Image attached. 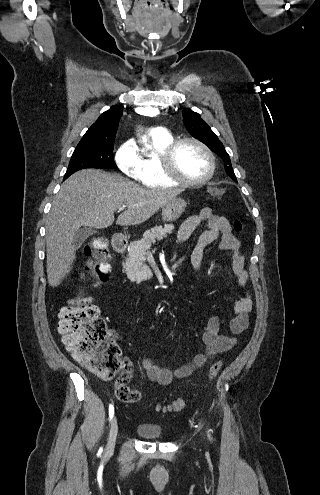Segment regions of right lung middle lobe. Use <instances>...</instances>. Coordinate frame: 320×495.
Masks as SVG:
<instances>
[{
    "label": "right lung middle lobe",
    "instance_id": "dd1d6c3e",
    "mask_svg": "<svg viewBox=\"0 0 320 495\" xmlns=\"http://www.w3.org/2000/svg\"><path fill=\"white\" fill-rule=\"evenodd\" d=\"M114 144L78 145L73 152L65 178L85 168L115 169Z\"/></svg>",
    "mask_w": 320,
    "mask_h": 495
}]
</instances>
